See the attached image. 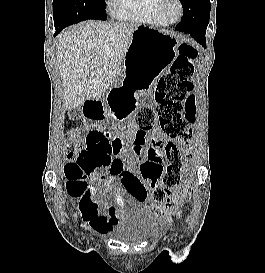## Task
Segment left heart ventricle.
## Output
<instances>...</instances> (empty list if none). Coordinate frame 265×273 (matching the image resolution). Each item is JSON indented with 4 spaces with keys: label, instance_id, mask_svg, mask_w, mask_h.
Here are the masks:
<instances>
[{
    "label": "left heart ventricle",
    "instance_id": "1",
    "mask_svg": "<svg viewBox=\"0 0 265 273\" xmlns=\"http://www.w3.org/2000/svg\"><path fill=\"white\" fill-rule=\"evenodd\" d=\"M167 14L170 18H175L179 14V6L175 0H170L166 8Z\"/></svg>",
    "mask_w": 265,
    "mask_h": 273
}]
</instances>
